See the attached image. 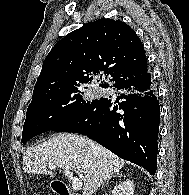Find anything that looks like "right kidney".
<instances>
[{"label": "right kidney", "mask_w": 189, "mask_h": 195, "mask_svg": "<svg viewBox=\"0 0 189 195\" xmlns=\"http://www.w3.org/2000/svg\"><path fill=\"white\" fill-rule=\"evenodd\" d=\"M112 195H134V184L123 181L112 190Z\"/></svg>", "instance_id": "right-kidney-1"}]
</instances>
